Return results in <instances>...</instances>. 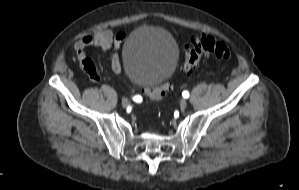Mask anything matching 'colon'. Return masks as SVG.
Here are the masks:
<instances>
[{
    "label": "colon",
    "mask_w": 299,
    "mask_h": 190,
    "mask_svg": "<svg viewBox=\"0 0 299 190\" xmlns=\"http://www.w3.org/2000/svg\"><path fill=\"white\" fill-rule=\"evenodd\" d=\"M209 57H212L217 61L229 62L232 53L230 48L223 41L208 35L195 36L185 47V59L183 65L185 72L191 73L203 59ZM75 61L89 76L97 72L93 61L87 57L83 51H77ZM170 89V83L164 81L158 86L146 87L143 90V94L151 101L159 102L164 99L166 93Z\"/></svg>",
    "instance_id": "5ec220e1"
}]
</instances>
